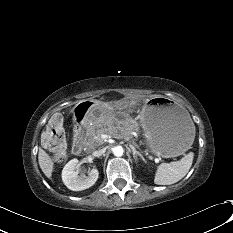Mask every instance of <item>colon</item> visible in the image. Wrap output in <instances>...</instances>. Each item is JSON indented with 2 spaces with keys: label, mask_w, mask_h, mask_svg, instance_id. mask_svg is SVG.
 <instances>
[{
  "label": "colon",
  "mask_w": 233,
  "mask_h": 233,
  "mask_svg": "<svg viewBox=\"0 0 233 233\" xmlns=\"http://www.w3.org/2000/svg\"><path fill=\"white\" fill-rule=\"evenodd\" d=\"M44 142L48 147L55 162H62L67 156V142L63 126V119L55 114L48 122L44 136Z\"/></svg>",
  "instance_id": "5ec220e1"
}]
</instances>
